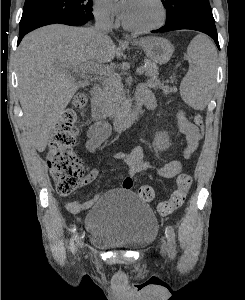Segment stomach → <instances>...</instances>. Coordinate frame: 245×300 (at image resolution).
<instances>
[{
	"instance_id": "1",
	"label": "stomach",
	"mask_w": 245,
	"mask_h": 300,
	"mask_svg": "<svg viewBox=\"0 0 245 300\" xmlns=\"http://www.w3.org/2000/svg\"><path fill=\"white\" fill-rule=\"evenodd\" d=\"M137 44L154 63L160 65L167 63L174 51L171 43L161 37H147L141 39Z\"/></svg>"
}]
</instances>
